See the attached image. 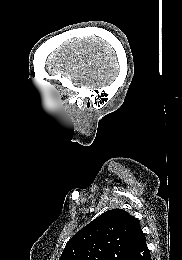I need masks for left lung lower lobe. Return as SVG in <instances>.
I'll return each mask as SVG.
<instances>
[{"instance_id": "obj_1", "label": "left lung lower lobe", "mask_w": 182, "mask_h": 260, "mask_svg": "<svg viewBox=\"0 0 182 260\" xmlns=\"http://www.w3.org/2000/svg\"><path fill=\"white\" fill-rule=\"evenodd\" d=\"M122 260H151L150 251L146 245L145 235L142 230L133 239Z\"/></svg>"}]
</instances>
